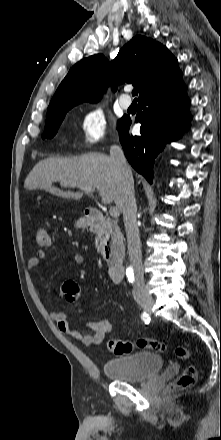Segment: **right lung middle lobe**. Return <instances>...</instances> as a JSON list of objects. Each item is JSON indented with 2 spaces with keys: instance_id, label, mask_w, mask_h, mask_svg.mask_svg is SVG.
I'll list each match as a JSON object with an SVG mask.
<instances>
[{
  "instance_id": "dd1d6c3e",
  "label": "right lung middle lobe",
  "mask_w": 221,
  "mask_h": 440,
  "mask_svg": "<svg viewBox=\"0 0 221 440\" xmlns=\"http://www.w3.org/2000/svg\"><path fill=\"white\" fill-rule=\"evenodd\" d=\"M75 105H69L62 108H56L47 111V119L45 124L44 133L42 138H52L58 131L60 124L62 123L66 113ZM122 119L118 121L120 124Z\"/></svg>"
}]
</instances>
